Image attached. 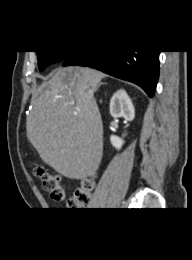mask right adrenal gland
<instances>
[{
  "instance_id": "1",
  "label": "right adrenal gland",
  "mask_w": 192,
  "mask_h": 260,
  "mask_svg": "<svg viewBox=\"0 0 192 260\" xmlns=\"http://www.w3.org/2000/svg\"><path fill=\"white\" fill-rule=\"evenodd\" d=\"M102 85V83H99L98 87L95 89V91L98 90V88Z\"/></svg>"
}]
</instances>
